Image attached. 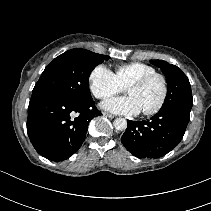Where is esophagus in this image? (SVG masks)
Here are the masks:
<instances>
[{"label":"esophagus","mask_w":211,"mask_h":211,"mask_svg":"<svg viewBox=\"0 0 211 211\" xmlns=\"http://www.w3.org/2000/svg\"><path fill=\"white\" fill-rule=\"evenodd\" d=\"M104 116H106L110 119H113L115 117L113 114H110V113H107V112L104 113Z\"/></svg>","instance_id":"34e87169"}]
</instances>
